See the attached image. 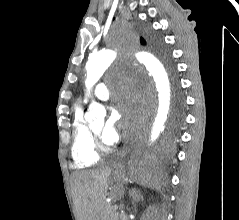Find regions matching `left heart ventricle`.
Listing matches in <instances>:
<instances>
[{
  "instance_id": "left-heart-ventricle-1",
  "label": "left heart ventricle",
  "mask_w": 239,
  "mask_h": 220,
  "mask_svg": "<svg viewBox=\"0 0 239 220\" xmlns=\"http://www.w3.org/2000/svg\"><path fill=\"white\" fill-rule=\"evenodd\" d=\"M104 123L103 122H99L95 125H93V129L94 131H96L98 134L101 133L102 129H103Z\"/></svg>"
}]
</instances>
